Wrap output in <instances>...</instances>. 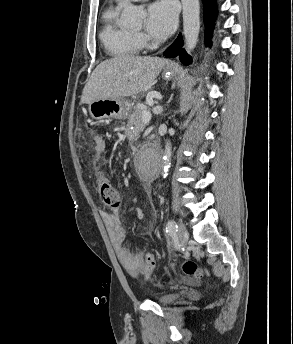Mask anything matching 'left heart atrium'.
Listing matches in <instances>:
<instances>
[{"instance_id":"39dd6f15","label":"left heart atrium","mask_w":293,"mask_h":344,"mask_svg":"<svg viewBox=\"0 0 293 344\" xmlns=\"http://www.w3.org/2000/svg\"><path fill=\"white\" fill-rule=\"evenodd\" d=\"M177 25V11L170 0H160L152 3L147 10L145 28L156 38H167Z\"/></svg>"}]
</instances>
